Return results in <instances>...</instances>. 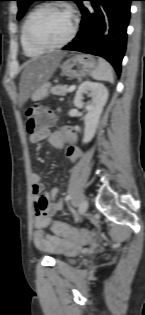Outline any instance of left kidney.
I'll return each mask as SVG.
<instances>
[{
    "label": "left kidney",
    "instance_id": "1",
    "mask_svg": "<svg viewBox=\"0 0 145 315\" xmlns=\"http://www.w3.org/2000/svg\"><path fill=\"white\" fill-rule=\"evenodd\" d=\"M84 94L92 96V101L85 107L83 103ZM107 99L108 90L101 83L85 81L78 87L74 98V105L80 109L85 108L87 111L84 117V143H88L93 139Z\"/></svg>",
    "mask_w": 145,
    "mask_h": 315
}]
</instances>
